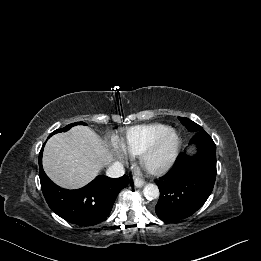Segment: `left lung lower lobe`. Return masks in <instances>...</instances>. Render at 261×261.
I'll return each mask as SVG.
<instances>
[{"label":"left lung lower lobe","mask_w":261,"mask_h":261,"mask_svg":"<svg viewBox=\"0 0 261 261\" xmlns=\"http://www.w3.org/2000/svg\"><path fill=\"white\" fill-rule=\"evenodd\" d=\"M190 143L198 146L196 155L180 154L175 166L155 181L160 190L155 211L165 222L191 216L213 190L216 178L215 143L204 130L196 132Z\"/></svg>","instance_id":"1"}]
</instances>
